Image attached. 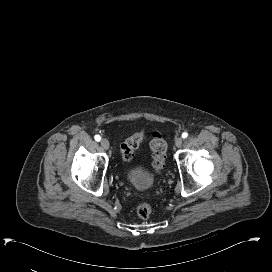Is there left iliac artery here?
<instances>
[{"mask_svg":"<svg viewBox=\"0 0 272 272\" xmlns=\"http://www.w3.org/2000/svg\"><path fill=\"white\" fill-rule=\"evenodd\" d=\"M187 136H188V133H187V132H183V133H182V138L185 139V138H187Z\"/></svg>","mask_w":272,"mask_h":272,"instance_id":"1","label":"left iliac artery"}]
</instances>
